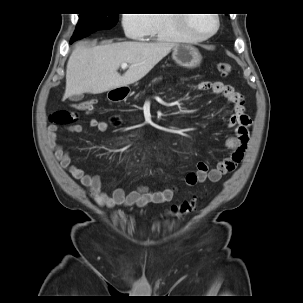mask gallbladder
Instances as JSON below:
<instances>
[{"label":"gallbladder","mask_w":303,"mask_h":303,"mask_svg":"<svg viewBox=\"0 0 303 303\" xmlns=\"http://www.w3.org/2000/svg\"><path fill=\"white\" fill-rule=\"evenodd\" d=\"M70 99H71L72 101H79V100L82 99V96H80V95H74V96H72Z\"/></svg>","instance_id":"1"}]
</instances>
